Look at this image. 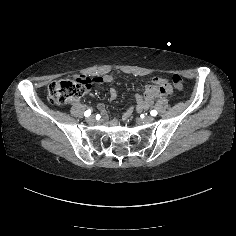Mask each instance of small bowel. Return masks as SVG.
Masks as SVG:
<instances>
[{
  "label": "small bowel",
  "instance_id": "obj_1",
  "mask_svg": "<svg viewBox=\"0 0 236 236\" xmlns=\"http://www.w3.org/2000/svg\"><path fill=\"white\" fill-rule=\"evenodd\" d=\"M112 80V77L110 75H105L104 77L102 78H96V81L97 82H110ZM158 82H162V83H166L164 79H157ZM117 95V92L115 89H111L110 90V98L111 99H114ZM150 104V100H144L143 102H141V106L144 108L146 106H148ZM101 109H103V107L101 106L100 107Z\"/></svg>",
  "mask_w": 236,
  "mask_h": 236
}]
</instances>
